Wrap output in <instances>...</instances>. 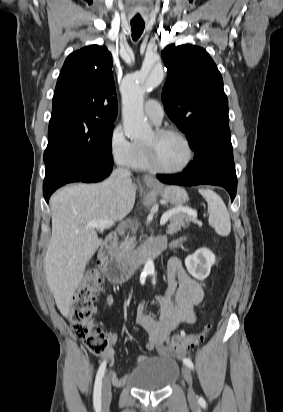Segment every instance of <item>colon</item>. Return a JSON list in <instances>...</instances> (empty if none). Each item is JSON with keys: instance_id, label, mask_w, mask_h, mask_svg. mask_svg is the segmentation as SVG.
Returning a JSON list of instances; mask_svg holds the SVG:
<instances>
[{"instance_id": "obj_1", "label": "colon", "mask_w": 283, "mask_h": 412, "mask_svg": "<svg viewBox=\"0 0 283 412\" xmlns=\"http://www.w3.org/2000/svg\"><path fill=\"white\" fill-rule=\"evenodd\" d=\"M101 283L100 266L96 265L87 272L66 307V317L73 334L95 355L103 354L111 340V334L97 326L92 318L93 302ZM210 328L211 323H208L199 333L187 336L174 335L168 340L169 347L175 352H184L193 348L203 342Z\"/></svg>"}]
</instances>
